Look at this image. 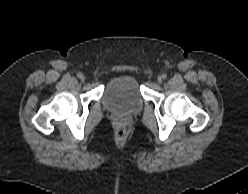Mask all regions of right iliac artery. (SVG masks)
<instances>
[{
    "mask_svg": "<svg viewBox=\"0 0 248 194\" xmlns=\"http://www.w3.org/2000/svg\"><path fill=\"white\" fill-rule=\"evenodd\" d=\"M77 77H78V78H81V77H82V74H81V73H78V74H77Z\"/></svg>",
    "mask_w": 248,
    "mask_h": 194,
    "instance_id": "obj_1",
    "label": "right iliac artery"
}]
</instances>
